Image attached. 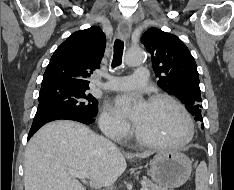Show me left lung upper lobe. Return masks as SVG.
<instances>
[{
  "mask_svg": "<svg viewBox=\"0 0 234 190\" xmlns=\"http://www.w3.org/2000/svg\"><path fill=\"white\" fill-rule=\"evenodd\" d=\"M141 42L152 56L159 86L179 98L195 121L202 122L197 65L186 45L177 36L157 28L148 29Z\"/></svg>",
  "mask_w": 234,
  "mask_h": 190,
  "instance_id": "1",
  "label": "left lung upper lobe"
}]
</instances>
